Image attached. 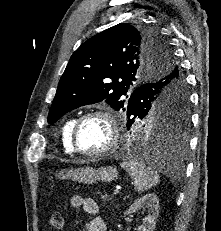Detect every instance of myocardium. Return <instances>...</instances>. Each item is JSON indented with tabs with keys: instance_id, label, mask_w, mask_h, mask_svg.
<instances>
[{
	"instance_id": "obj_1",
	"label": "myocardium",
	"mask_w": 221,
	"mask_h": 231,
	"mask_svg": "<svg viewBox=\"0 0 221 231\" xmlns=\"http://www.w3.org/2000/svg\"><path fill=\"white\" fill-rule=\"evenodd\" d=\"M92 117H102L107 121L110 128V138L107 145L104 146L103 148L97 151L87 152L79 148L77 136L81 124L86 119ZM119 140H120L119 121L116 114L111 109L96 108L83 113L75 120L71 131V145L73 151L81 156L88 157V158L100 157L109 153L110 151H112L117 147Z\"/></svg>"
}]
</instances>
